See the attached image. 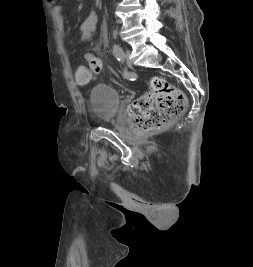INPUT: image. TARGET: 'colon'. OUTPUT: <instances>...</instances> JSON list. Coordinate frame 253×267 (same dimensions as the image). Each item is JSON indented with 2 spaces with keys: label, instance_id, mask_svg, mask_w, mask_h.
I'll return each instance as SVG.
<instances>
[{
  "label": "colon",
  "instance_id": "obj_1",
  "mask_svg": "<svg viewBox=\"0 0 253 267\" xmlns=\"http://www.w3.org/2000/svg\"><path fill=\"white\" fill-rule=\"evenodd\" d=\"M88 68L78 66L75 78L79 83H87L91 74L101 72V61L92 53H86ZM187 106L184 93L165 79H151L150 90L138 98L129 113L133 128L138 133H148L161 129L183 114Z\"/></svg>",
  "mask_w": 253,
  "mask_h": 267
}]
</instances>
